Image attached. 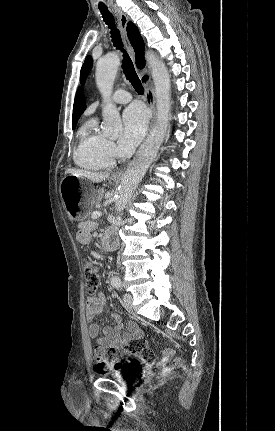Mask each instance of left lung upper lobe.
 <instances>
[{
  "instance_id": "obj_1",
  "label": "left lung upper lobe",
  "mask_w": 275,
  "mask_h": 431,
  "mask_svg": "<svg viewBox=\"0 0 275 431\" xmlns=\"http://www.w3.org/2000/svg\"><path fill=\"white\" fill-rule=\"evenodd\" d=\"M92 62L93 61H92L91 56H87L83 66L81 68V72H80V81L81 82L85 81V78H86V76H87V74H88V72L92 66Z\"/></svg>"
}]
</instances>
